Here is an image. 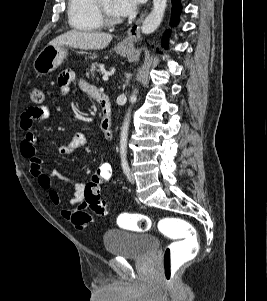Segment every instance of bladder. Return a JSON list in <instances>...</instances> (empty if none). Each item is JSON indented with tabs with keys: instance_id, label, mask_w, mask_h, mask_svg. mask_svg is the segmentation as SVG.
<instances>
[{
	"instance_id": "obj_1",
	"label": "bladder",
	"mask_w": 267,
	"mask_h": 301,
	"mask_svg": "<svg viewBox=\"0 0 267 301\" xmlns=\"http://www.w3.org/2000/svg\"><path fill=\"white\" fill-rule=\"evenodd\" d=\"M102 240L108 254L121 258H147L159 248L157 236L121 229L105 231Z\"/></svg>"
}]
</instances>
